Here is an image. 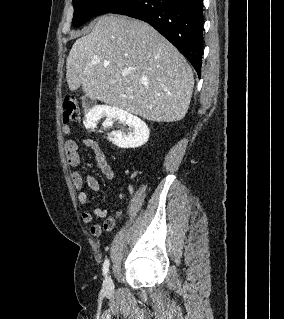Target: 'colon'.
Masks as SVG:
<instances>
[{"mask_svg":"<svg viewBox=\"0 0 284 319\" xmlns=\"http://www.w3.org/2000/svg\"><path fill=\"white\" fill-rule=\"evenodd\" d=\"M62 114L65 123H69L79 118L80 107L76 97L73 94L68 93L64 96Z\"/></svg>","mask_w":284,"mask_h":319,"instance_id":"1","label":"colon"}]
</instances>
